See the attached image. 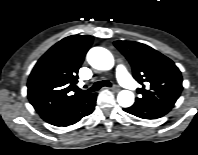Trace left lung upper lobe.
<instances>
[{
    "mask_svg": "<svg viewBox=\"0 0 198 155\" xmlns=\"http://www.w3.org/2000/svg\"><path fill=\"white\" fill-rule=\"evenodd\" d=\"M114 45L128 59L133 77L142 85L135 103L148 106H174L179 98L182 76L176 65L155 49L134 41H115Z\"/></svg>",
    "mask_w": 198,
    "mask_h": 155,
    "instance_id": "1",
    "label": "left lung upper lobe"
}]
</instances>
